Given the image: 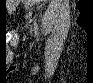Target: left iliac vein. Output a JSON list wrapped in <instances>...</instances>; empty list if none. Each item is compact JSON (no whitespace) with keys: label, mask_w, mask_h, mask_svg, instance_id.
<instances>
[{"label":"left iliac vein","mask_w":93,"mask_h":83,"mask_svg":"<svg viewBox=\"0 0 93 83\" xmlns=\"http://www.w3.org/2000/svg\"><path fill=\"white\" fill-rule=\"evenodd\" d=\"M32 32V29L30 28V33Z\"/></svg>","instance_id":"1"}]
</instances>
